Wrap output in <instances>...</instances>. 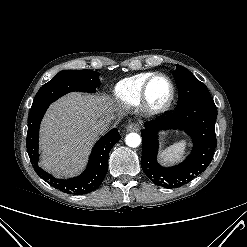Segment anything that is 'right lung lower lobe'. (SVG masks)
Returning a JSON list of instances; mask_svg holds the SVG:
<instances>
[{
	"instance_id": "98d812e1",
	"label": "right lung lower lobe",
	"mask_w": 247,
	"mask_h": 247,
	"mask_svg": "<svg viewBox=\"0 0 247 247\" xmlns=\"http://www.w3.org/2000/svg\"><path fill=\"white\" fill-rule=\"evenodd\" d=\"M48 106L30 111L26 146L33 168L42 179L62 192L83 195L96 190L108 171L109 152L121 138L118 130L112 129L94 145L87 168L80 176L66 180L56 179L38 166L39 126Z\"/></svg>"
}]
</instances>
